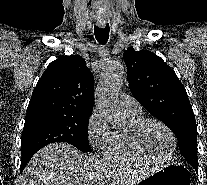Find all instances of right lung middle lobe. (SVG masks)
Returning <instances> with one entry per match:
<instances>
[{
  "label": "right lung middle lobe",
  "instance_id": "1",
  "mask_svg": "<svg viewBox=\"0 0 207 185\" xmlns=\"http://www.w3.org/2000/svg\"><path fill=\"white\" fill-rule=\"evenodd\" d=\"M89 117L57 114H26L21 137V171L42 147L54 142H67L83 152L90 151L88 140Z\"/></svg>",
  "mask_w": 207,
  "mask_h": 185
}]
</instances>
